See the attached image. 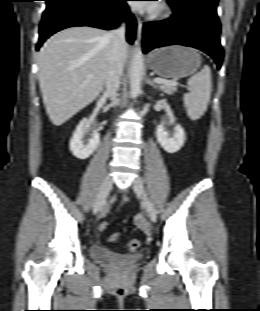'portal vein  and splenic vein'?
Listing matches in <instances>:
<instances>
[{"mask_svg": "<svg viewBox=\"0 0 260 311\" xmlns=\"http://www.w3.org/2000/svg\"><path fill=\"white\" fill-rule=\"evenodd\" d=\"M154 82L158 84H168V85H177L178 83L176 81H168L161 78H154Z\"/></svg>", "mask_w": 260, "mask_h": 311, "instance_id": "18ae733b", "label": "portal vein and splenic vein"}]
</instances>
